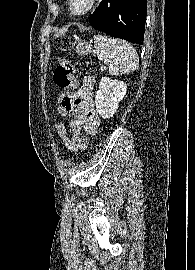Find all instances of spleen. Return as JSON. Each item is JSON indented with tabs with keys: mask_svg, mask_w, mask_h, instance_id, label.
Masks as SVG:
<instances>
[{
	"mask_svg": "<svg viewBox=\"0 0 195 270\" xmlns=\"http://www.w3.org/2000/svg\"><path fill=\"white\" fill-rule=\"evenodd\" d=\"M94 47L99 60L104 61L112 75L135 71L139 65L136 50L127 42L107 35H94Z\"/></svg>",
	"mask_w": 195,
	"mask_h": 270,
	"instance_id": "3e777b00",
	"label": "spleen"
}]
</instances>
